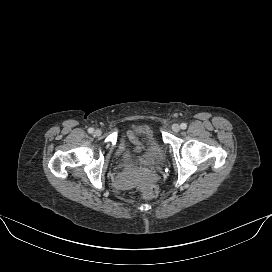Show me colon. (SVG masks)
Returning <instances> with one entry per match:
<instances>
[{"instance_id": "obj_1", "label": "colon", "mask_w": 272, "mask_h": 272, "mask_svg": "<svg viewBox=\"0 0 272 272\" xmlns=\"http://www.w3.org/2000/svg\"><path fill=\"white\" fill-rule=\"evenodd\" d=\"M144 199H153L158 195V188L153 183H144L139 187Z\"/></svg>"}]
</instances>
